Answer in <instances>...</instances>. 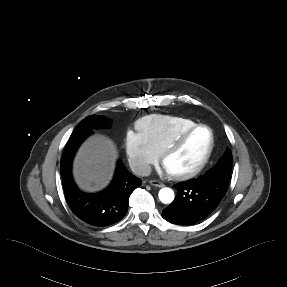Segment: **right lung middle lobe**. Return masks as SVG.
I'll return each mask as SVG.
<instances>
[{"mask_svg":"<svg viewBox=\"0 0 287 287\" xmlns=\"http://www.w3.org/2000/svg\"><path fill=\"white\" fill-rule=\"evenodd\" d=\"M109 122L110 121L106 119L104 116L99 115L88 116L78 123L74 131L81 129H93L99 126L107 127Z\"/></svg>","mask_w":287,"mask_h":287,"instance_id":"right-lung-middle-lobe-1","label":"right lung middle lobe"}]
</instances>
